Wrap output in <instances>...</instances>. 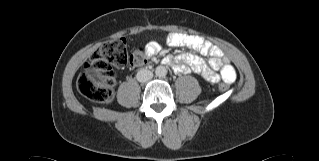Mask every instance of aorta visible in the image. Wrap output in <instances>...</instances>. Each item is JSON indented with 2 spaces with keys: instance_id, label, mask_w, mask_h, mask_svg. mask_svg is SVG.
Listing matches in <instances>:
<instances>
[{
  "instance_id": "aorta-1",
  "label": "aorta",
  "mask_w": 319,
  "mask_h": 161,
  "mask_svg": "<svg viewBox=\"0 0 319 161\" xmlns=\"http://www.w3.org/2000/svg\"><path fill=\"white\" fill-rule=\"evenodd\" d=\"M155 74L157 77H165L167 74V69L164 66H157L155 69Z\"/></svg>"
}]
</instances>
